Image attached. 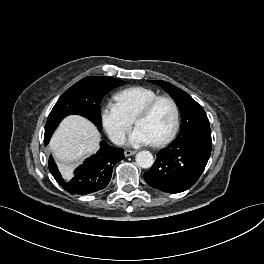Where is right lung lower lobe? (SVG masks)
<instances>
[{
  "mask_svg": "<svg viewBox=\"0 0 264 264\" xmlns=\"http://www.w3.org/2000/svg\"><path fill=\"white\" fill-rule=\"evenodd\" d=\"M100 146V150L87 158L69 180L62 178L52 156H50L49 170L58 184L69 193L79 195L104 189L111 179L114 166L124 158V150L109 146L104 141L100 143Z\"/></svg>",
  "mask_w": 264,
  "mask_h": 264,
  "instance_id": "obj_1",
  "label": "right lung lower lobe"
}]
</instances>
